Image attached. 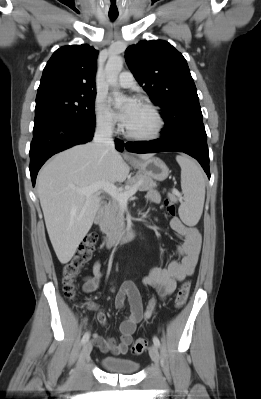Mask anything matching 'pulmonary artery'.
Wrapping results in <instances>:
<instances>
[{
  "label": "pulmonary artery",
  "mask_w": 261,
  "mask_h": 399,
  "mask_svg": "<svg viewBox=\"0 0 261 399\" xmlns=\"http://www.w3.org/2000/svg\"><path fill=\"white\" fill-rule=\"evenodd\" d=\"M118 85L121 88H131L135 85V80L130 72L124 71L120 74L118 79Z\"/></svg>",
  "instance_id": "obj_1"
}]
</instances>
